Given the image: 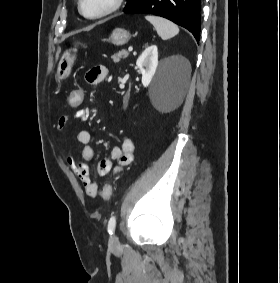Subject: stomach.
I'll return each instance as SVG.
<instances>
[{"label": "stomach", "mask_w": 280, "mask_h": 283, "mask_svg": "<svg viewBox=\"0 0 280 283\" xmlns=\"http://www.w3.org/2000/svg\"><path fill=\"white\" fill-rule=\"evenodd\" d=\"M131 38V34L129 31L123 28H115L109 38V41L117 46L126 44ZM76 49H69L64 51L59 61L57 71H56V81L60 82V80L67 78L71 71L75 61V53Z\"/></svg>", "instance_id": "obj_1"}]
</instances>
